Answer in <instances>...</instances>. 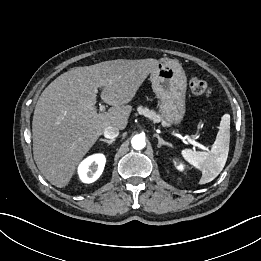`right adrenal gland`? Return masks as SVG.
<instances>
[{"label": "right adrenal gland", "mask_w": 261, "mask_h": 261, "mask_svg": "<svg viewBox=\"0 0 261 261\" xmlns=\"http://www.w3.org/2000/svg\"><path fill=\"white\" fill-rule=\"evenodd\" d=\"M99 141L101 142H105V143H108L109 145L112 144L115 140L112 139V140H107V139H99Z\"/></svg>", "instance_id": "1"}]
</instances>
